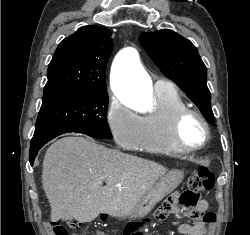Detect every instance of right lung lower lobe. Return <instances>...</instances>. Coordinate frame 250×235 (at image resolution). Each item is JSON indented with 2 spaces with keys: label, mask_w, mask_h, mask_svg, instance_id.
Returning <instances> with one entry per match:
<instances>
[{
  "label": "right lung lower lobe",
  "mask_w": 250,
  "mask_h": 235,
  "mask_svg": "<svg viewBox=\"0 0 250 235\" xmlns=\"http://www.w3.org/2000/svg\"><path fill=\"white\" fill-rule=\"evenodd\" d=\"M69 132L83 133L94 138L103 139V137L95 133L77 129L75 127L68 126V125H46V126L38 127L35 129V133L30 144V154H29L30 164L33 165L34 159L37 156L38 151L47 142H49L50 140H52L53 138L61 134L69 133Z\"/></svg>",
  "instance_id": "98d812e1"
}]
</instances>
